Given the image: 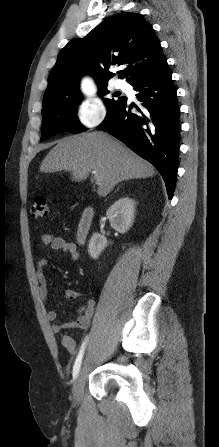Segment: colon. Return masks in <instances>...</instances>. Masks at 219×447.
<instances>
[{
  "instance_id": "1",
  "label": "colon",
  "mask_w": 219,
  "mask_h": 447,
  "mask_svg": "<svg viewBox=\"0 0 219 447\" xmlns=\"http://www.w3.org/2000/svg\"><path fill=\"white\" fill-rule=\"evenodd\" d=\"M30 213L35 219L47 218L49 213L47 199L44 196L35 197L31 205Z\"/></svg>"
}]
</instances>
